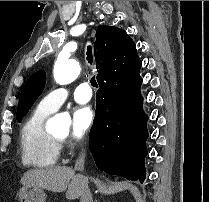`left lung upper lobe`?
<instances>
[{"mask_svg": "<svg viewBox=\"0 0 209 202\" xmlns=\"http://www.w3.org/2000/svg\"><path fill=\"white\" fill-rule=\"evenodd\" d=\"M46 83V73L37 71L31 75L25 83L20 94L16 118L20 122L27 114L39 95L42 93Z\"/></svg>", "mask_w": 209, "mask_h": 202, "instance_id": "left-lung-upper-lobe-1", "label": "left lung upper lobe"}]
</instances>
